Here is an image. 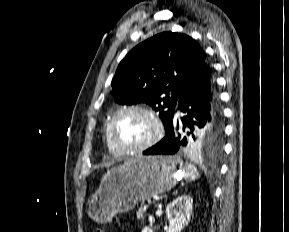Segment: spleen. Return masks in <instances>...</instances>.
Segmentation results:
<instances>
[{"mask_svg": "<svg viewBox=\"0 0 289 232\" xmlns=\"http://www.w3.org/2000/svg\"><path fill=\"white\" fill-rule=\"evenodd\" d=\"M185 179L195 180L199 177L197 169L192 164H187L182 173Z\"/></svg>", "mask_w": 289, "mask_h": 232, "instance_id": "3e777b00", "label": "spleen"}]
</instances>
